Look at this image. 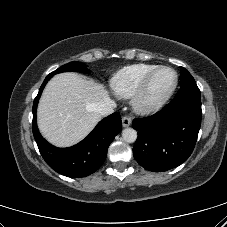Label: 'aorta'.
<instances>
[{"label": "aorta", "mask_w": 227, "mask_h": 227, "mask_svg": "<svg viewBox=\"0 0 227 227\" xmlns=\"http://www.w3.org/2000/svg\"><path fill=\"white\" fill-rule=\"evenodd\" d=\"M122 138L127 143H133L137 139V132L133 128H125L122 131Z\"/></svg>", "instance_id": "aorta-1"}]
</instances>
